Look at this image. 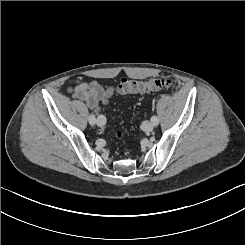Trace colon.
<instances>
[{
  "label": "colon",
  "mask_w": 245,
  "mask_h": 245,
  "mask_svg": "<svg viewBox=\"0 0 245 245\" xmlns=\"http://www.w3.org/2000/svg\"><path fill=\"white\" fill-rule=\"evenodd\" d=\"M170 85V79L165 76L151 78L149 80L123 78L118 84L117 92L122 95L141 94L168 88ZM116 136L120 138L121 133L117 132Z\"/></svg>",
  "instance_id": "5ec220e1"
}]
</instances>
